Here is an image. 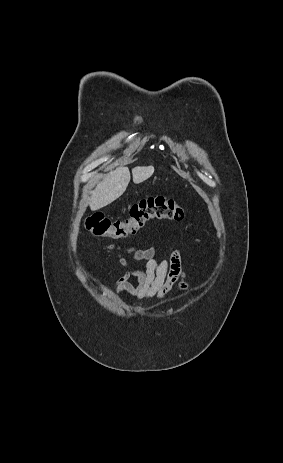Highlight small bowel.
Wrapping results in <instances>:
<instances>
[{
	"instance_id": "small-bowel-1",
	"label": "small bowel",
	"mask_w": 283,
	"mask_h": 463,
	"mask_svg": "<svg viewBox=\"0 0 283 463\" xmlns=\"http://www.w3.org/2000/svg\"><path fill=\"white\" fill-rule=\"evenodd\" d=\"M105 249L115 251L116 258L124 267V274L114 283L120 293L130 294L142 301L154 299L161 301L174 289L181 292L188 290L189 286L179 250L173 251L168 259L158 260L153 247L144 249L138 246L123 247L112 244L106 246ZM128 258L136 261L145 260L146 269L134 268ZM131 277L137 279L136 286L129 282Z\"/></svg>"
}]
</instances>
